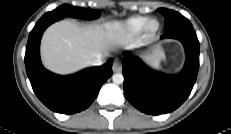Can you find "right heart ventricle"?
I'll list each match as a JSON object with an SVG mask.
<instances>
[{"instance_id":"right-heart-ventricle-1","label":"right heart ventricle","mask_w":231,"mask_h":134,"mask_svg":"<svg viewBox=\"0 0 231 134\" xmlns=\"http://www.w3.org/2000/svg\"><path fill=\"white\" fill-rule=\"evenodd\" d=\"M149 20L146 16H135L128 18L124 21L114 22L108 26V28L114 32L126 37H132L140 33Z\"/></svg>"}]
</instances>
